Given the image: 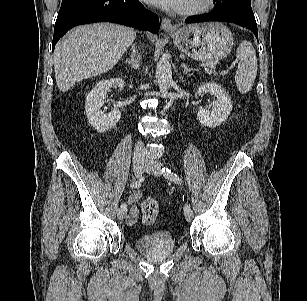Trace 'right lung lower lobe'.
Returning a JSON list of instances; mask_svg holds the SVG:
<instances>
[{"mask_svg": "<svg viewBox=\"0 0 307 301\" xmlns=\"http://www.w3.org/2000/svg\"><path fill=\"white\" fill-rule=\"evenodd\" d=\"M114 22L152 33L159 31V18L138 0H62L54 28L52 49L72 27L93 22Z\"/></svg>", "mask_w": 307, "mask_h": 301, "instance_id": "1", "label": "right lung lower lobe"}]
</instances>
